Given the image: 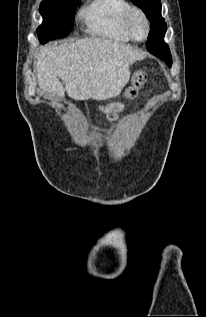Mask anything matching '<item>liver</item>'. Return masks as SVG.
I'll list each match as a JSON object with an SVG mask.
<instances>
[{
  "instance_id": "6515ba94",
  "label": "liver",
  "mask_w": 206,
  "mask_h": 317,
  "mask_svg": "<svg viewBox=\"0 0 206 317\" xmlns=\"http://www.w3.org/2000/svg\"><path fill=\"white\" fill-rule=\"evenodd\" d=\"M144 57L128 45L90 37L40 47L35 69L38 85L47 93L63 98L67 92L82 101L107 100L121 93L130 79V66Z\"/></svg>"
}]
</instances>
